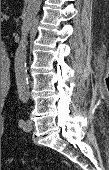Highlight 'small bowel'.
Wrapping results in <instances>:
<instances>
[{
    "instance_id": "1",
    "label": "small bowel",
    "mask_w": 109,
    "mask_h": 170,
    "mask_svg": "<svg viewBox=\"0 0 109 170\" xmlns=\"http://www.w3.org/2000/svg\"><path fill=\"white\" fill-rule=\"evenodd\" d=\"M4 122V117H2V123Z\"/></svg>"
}]
</instances>
